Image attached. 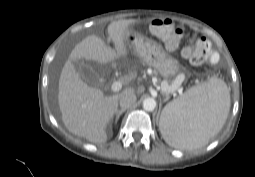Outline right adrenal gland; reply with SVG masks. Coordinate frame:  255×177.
<instances>
[{"instance_id": "2a0ac1e0", "label": "right adrenal gland", "mask_w": 255, "mask_h": 177, "mask_svg": "<svg viewBox=\"0 0 255 177\" xmlns=\"http://www.w3.org/2000/svg\"><path fill=\"white\" fill-rule=\"evenodd\" d=\"M126 111V109H121V110H118L116 112V119H115V122L117 123V121L119 120L120 116Z\"/></svg>"}]
</instances>
